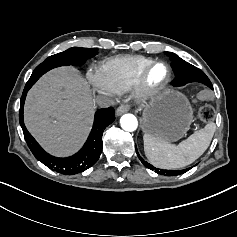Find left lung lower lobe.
<instances>
[{
  "label": "left lung lower lobe",
  "mask_w": 237,
  "mask_h": 237,
  "mask_svg": "<svg viewBox=\"0 0 237 237\" xmlns=\"http://www.w3.org/2000/svg\"><path fill=\"white\" fill-rule=\"evenodd\" d=\"M211 89H213V87H212ZM189 169H191V168H189ZM189 169H188V170H189ZM186 171H187V170H186ZM186 171H185V172H186ZM185 172H184V173H185ZM182 174H183V173H182Z\"/></svg>",
  "instance_id": "1"
}]
</instances>
